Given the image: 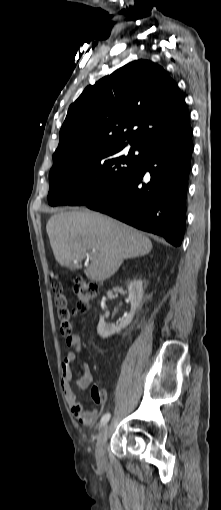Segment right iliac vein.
Returning a JSON list of instances; mask_svg holds the SVG:
<instances>
[{"label":"right iliac vein","instance_id":"63e3f726","mask_svg":"<svg viewBox=\"0 0 221 510\" xmlns=\"http://www.w3.org/2000/svg\"><path fill=\"white\" fill-rule=\"evenodd\" d=\"M108 436V426L105 425L97 438V445H96V460L99 465H103L105 463V445L107 441Z\"/></svg>","mask_w":221,"mask_h":510}]
</instances>
